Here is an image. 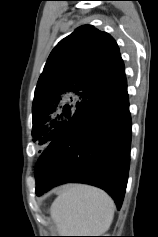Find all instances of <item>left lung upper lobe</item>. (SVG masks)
Here are the masks:
<instances>
[{"label":"left lung upper lobe","instance_id":"1","mask_svg":"<svg viewBox=\"0 0 158 237\" xmlns=\"http://www.w3.org/2000/svg\"><path fill=\"white\" fill-rule=\"evenodd\" d=\"M125 79L115 40L91 25L77 28L52 50L33 101V141H52L87 101ZM36 184L42 175L35 170Z\"/></svg>","mask_w":158,"mask_h":237}]
</instances>
